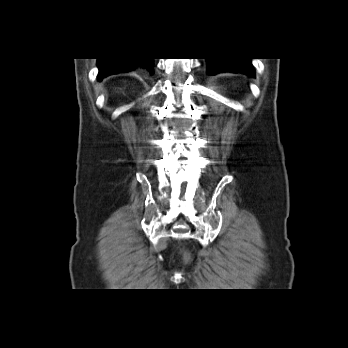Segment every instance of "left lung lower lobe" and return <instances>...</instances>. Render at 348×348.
Instances as JSON below:
<instances>
[{"mask_svg": "<svg viewBox=\"0 0 348 348\" xmlns=\"http://www.w3.org/2000/svg\"><path fill=\"white\" fill-rule=\"evenodd\" d=\"M207 61L209 75L219 72H235L252 76L254 73L249 58H207Z\"/></svg>", "mask_w": 348, "mask_h": 348, "instance_id": "left-lung-lower-lobe-1", "label": "left lung lower lobe"}]
</instances>
